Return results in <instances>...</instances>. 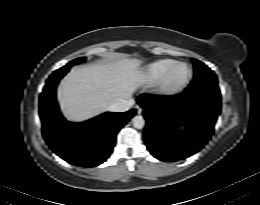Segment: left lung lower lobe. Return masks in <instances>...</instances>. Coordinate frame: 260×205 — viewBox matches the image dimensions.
I'll list each match as a JSON object with an SVG mask.
<instances>
[{"label": "left lung lower lobe", "instance_id": "0a47b994", "mask_svg": "<svg viewBox=\"0 0 260 205\" xmlns=\"http://www.w3.org/2000/svg\"><path fill=\"white\" fill-rule=\"evenodd\" d=\"M137 101L147 121L146 146L162 161L198 152L210 139L221 110V97L187 89L170 97L143 94Z\"/></svg>", "mask_w": 260, "mask_h": 205}]
</instances>
